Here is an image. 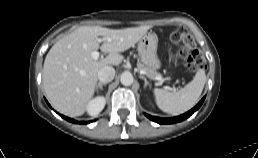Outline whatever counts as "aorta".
Listing matches in <instances>:
<instances>
[{
	"instance_id": "aorta-1",
	"label": "aorta",
	"mask_w": 258,
	"mask_h": 158,
	"mask_svg": "<svg viewBox=\"0 0 258 158\" xmlns=\"http://www.w3.org/2000/svg\"><path fill=\"white\" fill-rule=\"evenodd\" d=\"M120 81L124 86H130L133 83L134 78L130 72H124L121 74Z\"/></svg>"
}]
</instances>
